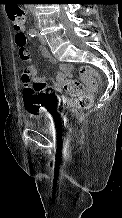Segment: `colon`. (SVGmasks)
I'll return each mask as SVG.
<instances>
[{"label": "colon", "instance_id": "5ec220e1", "mask_svg": "<svg viewBox=\"0 0 122 218\" xmlns=\"http://www.w3.org/2000/svg\"><path fill=\"white\" fill-rule=\"evenodd\" d=\"M7 13L16 31L15 42L19 50V56L22 60L27 61L29 59V54L26 50L27 38L22 32L26 20L25 12L19 6L10 5L7 8ZM80 76L87 84V92H85L82 83L75 79L65 80L63 83V88L68 95L76 98L80 108L88 109L92 104V92L96 90L100 76L98 71L90 66H82L80 68ZM21 79L24 84L23 101L26 110L30 113H40V109L37 107L34 101L36 87L31 85V76L28 70H25L22 73ZM75 115L76 112L73 109H70L67 112L69 126H71L72 119L75 117Z\"/></svg>", "mask_w": 122, "mask_h": 218}]
</instances>
